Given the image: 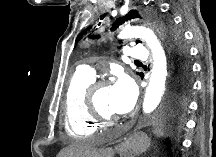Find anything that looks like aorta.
Segmentation results:
<instances>
[{"mask_svg": "<svg viewBox=\"0 0 216 157\" xmlns=\"http://www.w3.org/2000/svg\"><path fill=\"white\" fill-rule=\"evenodd\" d=\"M119 37L122 39L140 38L146 42L152 51L153 67L143 101V112L150 114L157 108L165 93L168 66L163 47L155 33L141 25L126 24L122 27ZM120 155L126 156L128 154L122 149L120 150Z\"/></svg>", "mask_w": 216, "mask_h": 157, "instance_id": "obj_1", "label": "aorta"}]
</instances>
